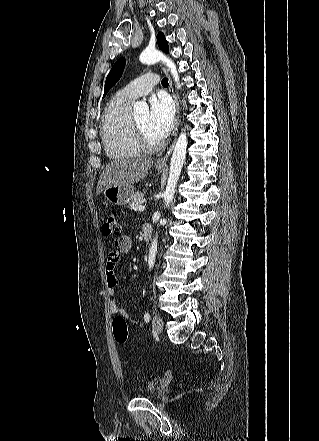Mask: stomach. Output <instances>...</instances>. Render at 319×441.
<instances>
[{
	"mask_svg": "<svg viewBox=\"0 0 319 441\" xmlns=\"http://www.w3.org/2000/svg\"><path fill=\"white\" fill-rule=\"evenodd\" d=\"M158 171H162L163 167H156ZM104 198L107 202L113 205L129 204L134 195L135 189L131 184L110 186L103 190Z\"/></svg>",
	"mask_w": 319,
	"mask_h": 441,
	"instance_id": "obj_1",
	"label": "stomach"
}]
</instances>
